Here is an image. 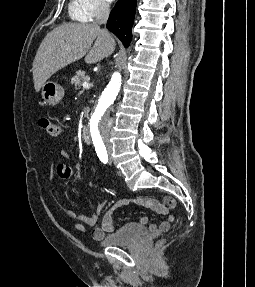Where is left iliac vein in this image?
Segmentation results:
<instances>
[{"label": "left iliac vein", "mask_w": 255, "mask_h": 287, "mask_svg": "<svg viewBox=\"0 0 255 287\" xmlns=\"http://www.w3.org/2000/svg\"><path fill=\"white\" fill-rule=\"evenodd\" d=\"M108 152H109V154L111 153V148H108Z\"/></svg>", "instance_id": "left-iliac-vein-1"}]
</instances>
